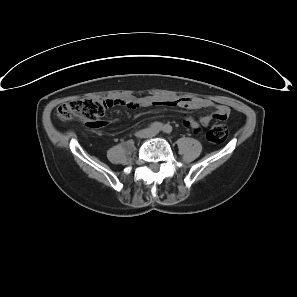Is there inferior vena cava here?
<instances>
[{
  "label": "inferior vena cava",
  "instance_id": "1",
  "mask_svg": "<svg viewBox=\"0 0 297 297\" xmlns=\"http://www.w3.org/2000/svg\"><path fill=\"white\" fill-rule=\"evenodd\" d=\"M154 135H155V132L152 133V136H154Z\"/></svg>",
  "mask_w": 297,
  "mask_h": 297
}]
</instances>
